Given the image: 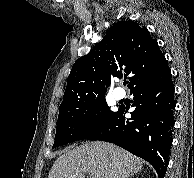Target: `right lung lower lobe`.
<instances>
[{
    "label": "right lung lower lobe",
    "mask_w": 194,
    "mask_h": 178,
    "mask_svg": "<svg viewBox=\"0 0 194 178\" xmlns=\"http://www.w3.org/2000/svg\"><path fill=\"white\" fill-rule=\"evenodd\" d=\"M132 122L125 120L128 109L120 107L96 129L88 140L112 142L148 161L159 178H164L172 145L175 109L171 71L133 90Z\"/></svg>",
    "instance_id": "obj_1"
}]
</instances>
